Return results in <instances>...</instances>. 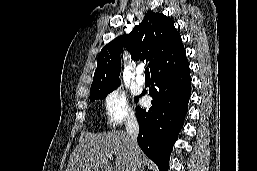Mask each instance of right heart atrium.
Returning <instances> with one entry per match:
<instances>
[{"label":"right heart atrium","instance_id":"d8ad5b80","mask_svg":"<svg viewBox=\"0 0 257 171\" xmlns=\"http://www.w3.org/2000/svg\"><path fill=\"white\" fill-rule=\"evenodd\" d=\"M103 110L107 123L112 127L135 119L128 97L120 89H114L105 96Z\"/></svg>","mask_w":257,"mask_h":171}]
</instances>
